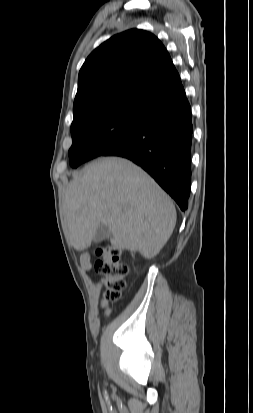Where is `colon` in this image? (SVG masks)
<instances>
[{
    "label": "colon",
    "instance_id": "1",
    "mask_svg": "<svg viewBox=\"0 0 253 413\" xmlns=\"http://www.w3.org/2000/svg\"><path fill=\"white\" fill-rule=\"evenodd\" d=\"M97 255L99 260L95 264V269L101 275L105 286L103 303L117 301L125 288L124 278L128 273V267L121 261V252L117 248L99 249Z\"/></svg>",
    "mask_w": 253,
    "mask_h": 413
}]
</instances>
